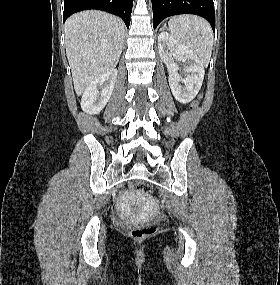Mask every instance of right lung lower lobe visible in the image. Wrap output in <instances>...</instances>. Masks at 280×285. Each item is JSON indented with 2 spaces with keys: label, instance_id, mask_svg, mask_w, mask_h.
<instances>
[{
  "label": "right lung lower lobe",
  "instance_id": "right-lung-lower-lobe-1",
  "mask_svg": "<svg viewBox=\"0 0 280 285\" xmlns=\"http://www.w3.org/2000/svg\"><path fill=\"white\" fill-rule=\"evenodd\" d=\"M132 4L133 0H64L63 22L75 12L98 9L120 16L129 28Z\"/></svg>",
  "mask_w": 280,
  "mask_h": 285
}]
</instances>
